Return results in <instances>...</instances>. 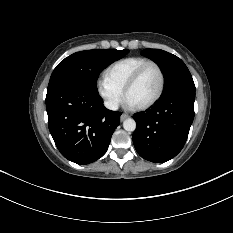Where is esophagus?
Returning a JSON list of instances; mask_svg holds the SVG:
<instances>
[{
    "label": "esophagus",
    "instance_id": "1",
    "mask_svg": "<svg viewBox=\"0 0 233 233\" xmlns=\"http://www.w3.org/2000/svg\"><path fill=\"white\" fill-rule=\"evenodd\" d=\"M128 117H129V115L123 113V114L120 116V120H121V121H124V120L127 119Z\"/></svg>",
    "mask_w": 233,
    "mask_h": 233
}]
</instances>
